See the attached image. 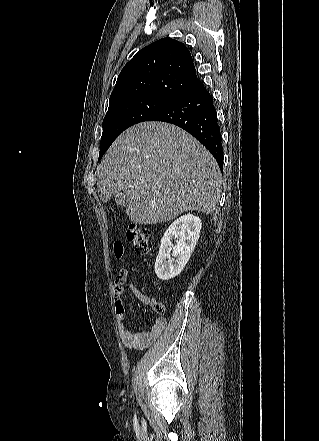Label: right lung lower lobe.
<instances>
[{
	"mask_svg": "<svg viewBox=\"0 0 319 441\" xmlns=\"http://www.w3.org/2000/svg\"><path fill=\"white\" fill-rule=\"evenodd\" d=\"M148 121L167 122L186 130L210 151L222 169V140L213 97L200 80L191 83Z\"/></svg>",
	"mask_w": 319,
	"mask_h": 441,
	"instance_id": "98d812e1",
	"label": "right lung lower lobe"
}]
</instances>
